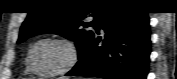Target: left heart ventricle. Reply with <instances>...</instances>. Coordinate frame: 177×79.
<instances>
[{"label": "left heart ventricle", "instance_id": "left-heart-ventricle-1", "mask_svg": "<svg viewBox=\"0 0 177 79\" xmlns=\"http://www.w3.org/2000/svg\"><path fill=\"white\" fill-rule=\"evenodd\" d=\"M32 57L38 69L54 71L62 67L67 61L68 49L61 43L48 41L38 45Z\"/></svg>", "mask_w": 177, "mask_h": 79}]
</instances>
